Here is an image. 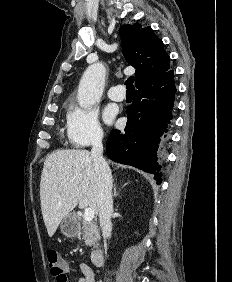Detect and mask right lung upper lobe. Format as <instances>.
Here are the masks:
<instances>
[{"label": "right lung upper lobe", "instance_id": "obj_1", "mask_svg": "<svg viewBox=\"0 0 232 282\" xmlns=\"http://www.w3.org/2000/svg\"><path fill=\"white\" fill-rule=\"evenodd\" d=\"M120 35L124 57L136 69L135 85L169 70V56L163 49V42L155 36L151 27L123 25Z\"/></svg>", "mask_w": 232, "mask_h": 282}]
</instances>
